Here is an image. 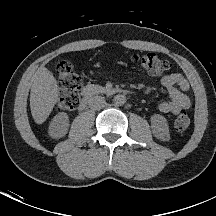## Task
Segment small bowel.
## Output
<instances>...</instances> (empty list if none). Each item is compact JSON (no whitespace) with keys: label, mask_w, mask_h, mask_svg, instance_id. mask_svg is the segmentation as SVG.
I'll use <instances>...</instances> for the list:
<instances>
[{"label":"small bowel","mask_w":216,"mask_h":216,"mask_svg":"<svg viewBox=\"0 0 216 216\" xmlns=\"http://www.w3.org/2000/svg\"><path fill=\"white\" fill-rule=\"evenodd\" d=\"M161 84L166 88L169 100L158 104L159 111L163 113L179 114L190 108L191 100L187 95L190 85L182 74H166L161 77Z\"/></svg>","instance_id":"1"}]
</instances>
